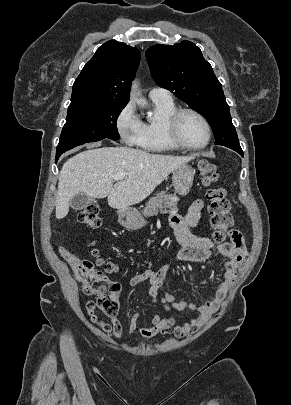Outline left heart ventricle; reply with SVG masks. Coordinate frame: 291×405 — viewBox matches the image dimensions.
I'll return each mask as SVG.
<instances>
[{
  "instance_id": "b2bd125f",
  "label": "left heart ventricle",
  "mask_w": 291,
  "mask_h": 405,
  "mask_svg": "<svg viewBox=\"0 0 291 405\" xmlns=\"http://www.w3.org/2000/svg\"><path fill=\"white\" fill-rule=\"evenodd\" d=\"M180 135L191 146H200L206 142L207 131L204 124L194 115L186 114L180 121Z\"/></svg>"
}]
</instances>
